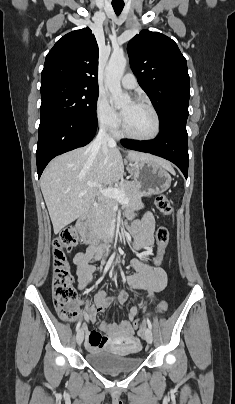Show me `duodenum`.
<instances>
[{
	"instance_id": "1",
	"label": "duodenum",
	"mask_w": 235,
	"mask_h": 404,
	"mask_svg": "<svg viewBox=\"0 0 235 404\" xmlns=\"http://www.w3.org/2000/svg\"><path fill=\"white\" fill-rule=\"evenodd\" d=\"M77 228L82 236L96 248L98 252H102L103 245L101 238L95 236L92 231V213L88 212L77 220ZM111 243L116 241V237L109 238Z\"/></svg>"
}]
</instances>
